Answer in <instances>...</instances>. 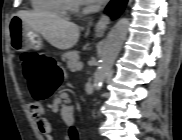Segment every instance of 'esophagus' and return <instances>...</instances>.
I'll return each instance as SVG.
<instances>
[{"label": "esophagus", "mask_w": 182, "mask_h": 140, "mask_svg": "<svg viewBox=\"0 0 182 140\" xmlns=\"http://www.w3.org/2000/svg\"><path fill=\"white\" fill-rule=\"evenodd\" d=\"M109 20V16L107 14H103L95 26V32L102 35L109 24Z\"/></svg>", "instance_id": "obj_1"}]
</instances>
